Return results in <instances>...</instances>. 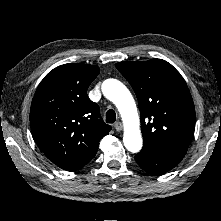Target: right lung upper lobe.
Segmentation results:
<instances>
[{"instance_id": "obj_1", "label": "right lung upper lobe", "mask_w": 221, "mask_h": 221, "mask_svg": "<svg viewBox=\"0 0 221 221\" xmlns=\"http://www.w3.org/2000/svg\"><path fill=\"white\" fill-rule=\"evenodd\" d=\"M99 67L80 63L58 66L39 84L31 104L32 136L46 157L64 170L79 167L96 154L111 130L87 89Z\"/></svg>"}]
</instances>
